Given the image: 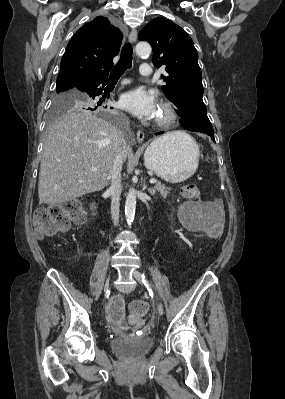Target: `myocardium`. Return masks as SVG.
<instances>
[{"instance_id": "f54148a6", "label": "myocardium", "mask_w": 285, "mask_h": 399, "mask_svg": "<svg viewBox=\"0 0 285 399\" xmlns=\"http://www.w3.org/2000/svg\"><path fill=\"white\" fill-rule=\"evenodd\" d=\"M159 109L163 112V116L157 117L155 124L159 127H168L172 125L177 119V110L169 101H162L159 104Z\"/></svg>"}]
</instances>
